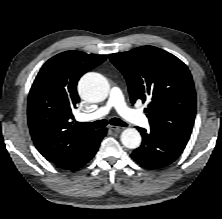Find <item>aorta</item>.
Segmentation results:
<instances>
[{"mask_svg": "<svg viewBox=\"0 0 222 219\" xmlns=\"http://www.w3.org/2000/svg\"><path fill=\"white\" fill-rule=\"evenodd\" d=\"M80 96L89 102H101L109 93V83L101 74L89 72L79 81ZM122 144L129 149H136L141 144V135L135 128H127L121 133Z\"/></svg>", "mask_w": 222, "mask_h": 219, "instance_id": "obj_1", "label": "aorta"}]
</instances>
